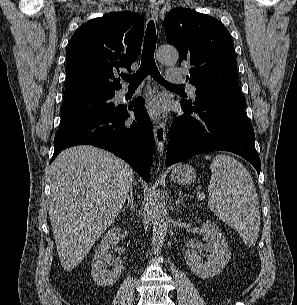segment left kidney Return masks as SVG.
Masks as SVG:
<instances>
[{"mask_svg":"<svg viewBox=\"0 0 297 305\" xmlns=\"http://www.w3.org/2000/svg\"><path fill=\"white\" fill-rule=\"evenodd\" d=\"M205 241L206 259L201 260L192 249L185 251L184 257L190 269L202 279L219 274L228 264L231 254L222 232L210 221L203 223L200 230Z\"/></svg>","mask_w":297,"mask_h":305,"instance_id":"left-kidney-1","label":"left kidney"}]
</instances>
